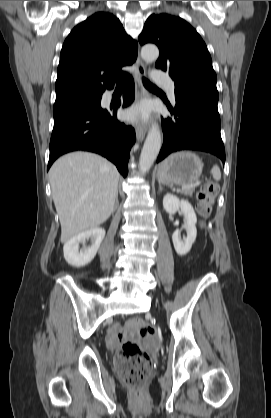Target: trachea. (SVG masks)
I'll use <instances>...</instances> for the list:
<instances>
[{
  "mask_svg": "<svg viewBox=\"0 0 271 418\" xmlns=\"http://www.w3.org/2000/svg\"><path fill=\"white\" fill-rule=\"evenodd\" d=\"M143 84L145 87L147 88H156L155 85H153L149 80H147L146 78H143ZM122 84H119V86H121Z\"/></svg>",
  "mask_w": 271,
  "mask_h": 418,
  "instance_id": "3493384b",
  "label": "trachea"
}]
</instances>
